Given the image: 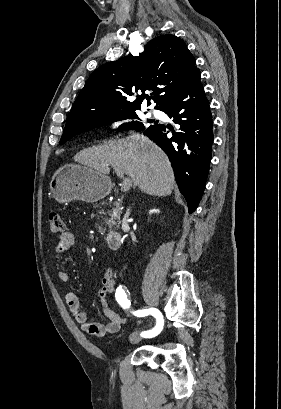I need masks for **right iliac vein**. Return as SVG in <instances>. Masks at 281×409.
Instances as JSON below:
<instances>
[{
    "instance_id": "63e3f726",
    "label": "right iliac vein",
    "mask_w": 281,
    "mask_h": 409,
    "mask_svg": "<svg viewBox=\"0 0 281 409\" xmlns=\"http://www.w3.org/2000/svg\"><path fill=\"white\" fill-rule=\"evenodd\" d=\"M142 340V337L139 335V333H133L131 336H130V342L132 343V344H136V343H139L140 341Z\"/></svg>"
}]
</instances>
